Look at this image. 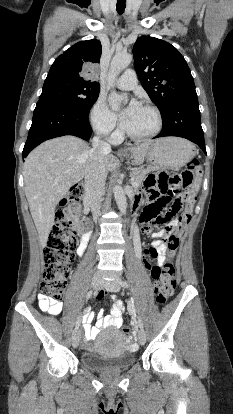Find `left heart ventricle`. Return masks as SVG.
Returning <instances> with one entry per match:
<instances>
[{
    "instance_id": "left-heart-ventricle-1",
    "label": "left heart ventricle",
    "mask_w": 233,
    "mask_h": 414,
    "mask_svg": "<svg viewBox=\"0 0 233 414\" xmlns=\"http://www.w3.org/2000/svg\"><path fill=\"white\" fill-rule=\"evenodd\" d=\"M125 127L136 135L153 132L157 126V118L153 111L139 106L128 117L123 119Z\"/></svg>"
}]
</instances>
